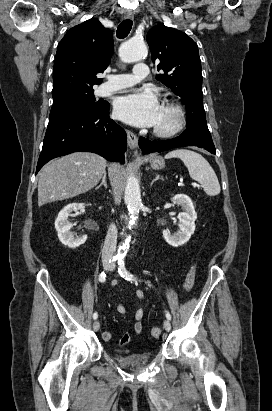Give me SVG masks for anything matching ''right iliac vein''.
<instances>
[{"mask_svg": "<svg viewBox=\"0 0 272 411\" xmlns=\"http://www.w3.org/2000/svg\"><path fill=\"white\" fill-rule=\"evenodd\" d=\"M104 266H105V268L106 269H108L111 265L106 261L105 263H104ZM93 329L95 330V331H98L99 329H100V323H99V321H94V323H93Z\"/></svg>", "mask_w": 272, "mask_h": 411, "instance_id": "obj_1", "label": "right iliac vein"}]
</instances>
